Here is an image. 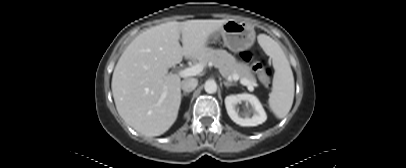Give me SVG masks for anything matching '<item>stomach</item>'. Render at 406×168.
Returning a JSON list of instances; mask_svg holds the SVG:
<instances>
[{"instance_id":"1","label":"stomach","mask_w":406,"mask_h":168,"mask_svg":"<svg viewBox=\"0 0 406 168\" xmlns=\"http://www.w3.org/2000/svg\"><path fill=\"white\" fill-rule=\"evenodd\" d=\"M222 37L225 46L233 52H240L250 48L255 42L253 26L245 22L230 19L211 35L213 40Z\"/></svg>"}]
</instances>
